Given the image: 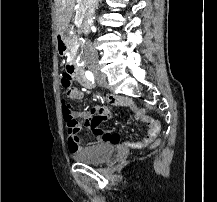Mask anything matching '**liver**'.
<instances>
[{
  "label": "liver",
  "instance_id": "6515ba94",
  "mask_svg": "<svg viewBox=\"0 0 217 202\" xmlns=\"http://www.w3.org/2000/svg\"><path fill=\"white\" fill-rule=\"evenodd\" d=\"M55 4L57 14V32L58 34H64L70 24L76 0H55Z\"/></svg>",
  "mask_w": 217,
  "mask_h": 202
}]
</instances>
